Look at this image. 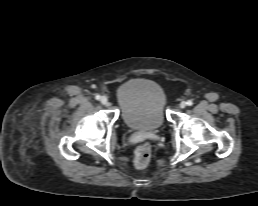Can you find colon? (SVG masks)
<instances>
[{
    "mask_svg": "<svg viewBox=\"0 0 258 206\" xmlns=\"http://www.w3.org/2000/svg\"><path fill=\"white\" fill-rule=\"evenodd\" d=\"M151 160V147L148 142L138 146L134 154V164L138 167H144Z\"/></svg>",
    "mask_w": 258,
    "mask_h": 206,
    "instance_id": "obj_1",
    "label": "colon"
}]
</instances>
